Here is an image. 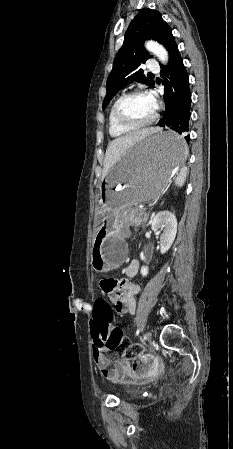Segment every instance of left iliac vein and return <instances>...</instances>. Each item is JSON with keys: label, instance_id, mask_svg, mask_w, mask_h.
Returning <instances> with one entry per match:
<instances>
[{"label": "left iliac vein", "instance_id": "4c4485c4", "mask_svg": "<svg viewBox=\"0 0 233 449\" xmlns=\"http://www.w3.org/2000/svg\"><path fill=\"white\" fill-rule=\"evenodd\" d=\"M151 337H152L151 331H147V332L144 334L143 342H144V343L148 342V341L151 339Z\"/></svg>", "mask_w": 233, "mask_h": 449}]
</instances>
